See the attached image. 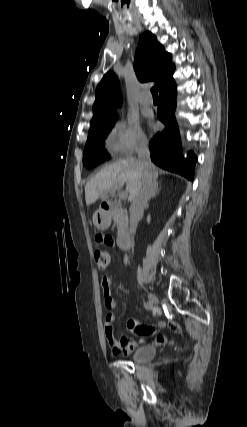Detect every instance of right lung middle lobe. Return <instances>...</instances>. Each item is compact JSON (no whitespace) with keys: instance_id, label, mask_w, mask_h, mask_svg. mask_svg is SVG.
<instances>
[{"instance_id":"dd1d6c3e","label":"right lung middle lobe","mask_w":247,"mask_h":427,"mask_svg":"<svg viewBox=\"0 0 247 427\" xmlns=\"http://www.w3.org/2000/svg\"><path fill=\"white\" fill-rule=\"evenodd\" d=\"M115 121L116 118L89 130L83 154V166L87 169L93 168L110 157L104 149L105 138L114 126Z\"/></svg>"}]
</instances>
